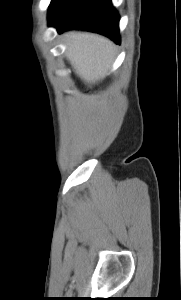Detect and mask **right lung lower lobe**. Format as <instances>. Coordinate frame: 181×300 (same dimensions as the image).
<instances>
[{
    "instance_id": "right-lung-lower-lobe-1",
    "label": "right lung lower lobe",
    "mask_w": 181,
    "mask_h": 300,
    "mask_svg": "<svg viewBox=\"0 0 181 300\" xmlns=\"http://www.w3.org/2000/svg\"><path fill=\"white\" fill-rule=\"evenodd\" d=\"M49 26L58 33L69 29H81L105 35L120 44L119 15L111 0H66L48 13Z\"/></svg>"
}]
</instances>
